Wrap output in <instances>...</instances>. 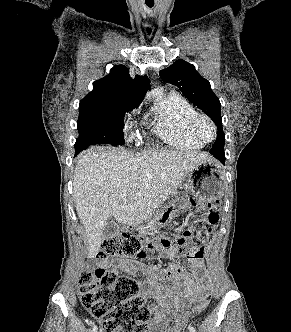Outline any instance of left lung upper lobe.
Returning <instances> with one entry per match:
<instances>
[{
	"mask_svg": "<svg viewBox=\"0 0 291 332\" xmlns=\"http://www.w3.org/2000/svg\"><path fill=\"white\" fill-rule=\"evenodd\" d=\"M160 76L165 82L177 86L190 102L215 122L218 132L211 150H224L225 134L222 128L221 105L211 90L209 81L195 70L194 65L181 59L161 70Z\"/></svg>",
	"mask_w": 291,
	"mask_h": 332,
	"instance_id": "left-lung-upper-lobe-1",
	"label": "left lung upper lobe"
}]
</instances>
